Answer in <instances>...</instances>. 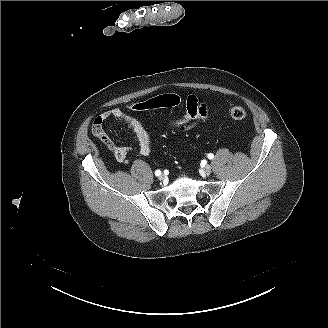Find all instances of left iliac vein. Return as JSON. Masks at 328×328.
<instances>
[{
  "label": "left iliac vein",
  "mask_w": 328,
  "mask_h": 328,
  "mask_svg": "<svg viewBox=\"0 0 328 328\" xmlns=\"http://www.w3.org/2000/svg\"><path fill=\"white\" fill-rule=\"evenodd\" d=\"M204 172L206 173V174H210L211 172H212V167L210 166V165H206L205 167H204Z\"/></svg>",
  "instance_id": "4c4485c4"
}]
</instances>
